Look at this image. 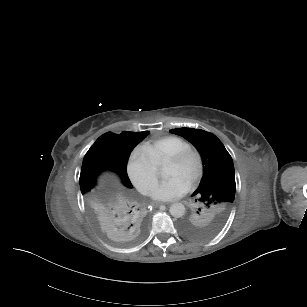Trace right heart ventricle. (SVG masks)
<instances>
[{"instance_id":"e07e8e85","label":"right heart ventricle","mask_w":307,"mask_h":307,"mask_svg":"<svg viewBox=\"0 0 307 307\" xmlns=\"http://www.w3.org/2000/svg\"><path fill=\"white\" fill-rule=\"evenodd\" d=\"M191 143L192 141L187 137L179 135H167L163 138L162 145L157 152V157L167 159L169 155L178 152Z\"/></svg>"}]
</instances>
